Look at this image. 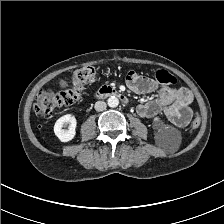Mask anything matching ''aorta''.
<instances>
[{
	"label": "aorta",
	"mask_w": 224,
	"mask_h": 224,
	"mask_svg": "<svg viewBox=\"0 0 224 224\" xmlns=\"http://www.w3.org/2000/svg\"><path fill=\"white\" fill-rule=\"evenodd\" d=\"M108 106L111 108H115L119 105V99L115 96H111L108 100H107Z\"/></svg>",
	"instance_id": "obj_1"
}]
</instances>
